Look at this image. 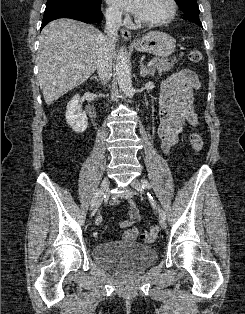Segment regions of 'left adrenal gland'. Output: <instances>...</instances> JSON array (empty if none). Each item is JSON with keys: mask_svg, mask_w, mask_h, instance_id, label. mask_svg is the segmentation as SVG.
<instances>
[{"mask_svg": "<svg viewBox=\"0 0 245 314\" xmlns=\"http://www.w3.org/2000/svg\"><path fill=\"white\" fill-rule=\"evenodd\" d=\"M139 68H140V75L142 77L152 76L153 75L151 69L144 66L143 60H141L139 62Z\"/></svg>", "mask_w": 245, "mask_h": 314, "instance_id": "1", "label": "left adrenal gland"}]
</instances>
